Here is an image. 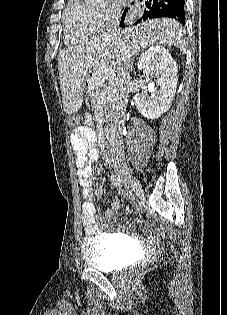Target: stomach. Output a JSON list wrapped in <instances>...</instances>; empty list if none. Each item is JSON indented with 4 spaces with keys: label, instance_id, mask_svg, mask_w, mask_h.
<instances>
[{
    "label": "stomach",
    "instance_id": "0dacf381",
    "mask_svg": "<svg viewBox=\"0 0 227 315\" xmlns=\"http://www.w3.org/2000/svg\"><path fill=\"white\" fill-rule=\"evenodd\" d=\"M98 77L97 71H89L88 75L84 76V80H82L81 85L84 89V91H93L94 85H93V78Z\"/></svg>",
    "mask_w": 227,
    "mask_h": 315
}]
</instances>
